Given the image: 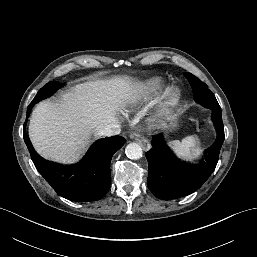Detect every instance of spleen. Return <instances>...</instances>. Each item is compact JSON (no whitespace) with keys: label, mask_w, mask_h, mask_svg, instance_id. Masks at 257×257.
Instances as JSON below:
<instances>
[{"label":"spleen","mask_w":257,"mask_h":257,"mask_svg":"<svg viewBox=\"0 0 257 257\" xmlns=\"http://www.w3.org/2000/svg\"><path fill=\"white\" fill-rule=\"evenodd\" d=\"M169 145L179 158L186 160H195L202 152L199 148V140L196 135L187 136L181 141L173 140Z\"/></svg>","instance_id":"1"}]
</instances>
